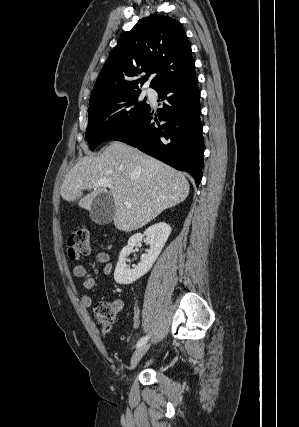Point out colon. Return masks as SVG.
I'll return each mask as SVG.
<instances>
[{
  "instance_id": "obj_1",
  "label": "colon",
  "mask_w": 299,
  "mask_h": 427,
  "mask_svg": "<svg viewBox=\"0 0 299 427\" xmlns=\"http://www.w3.org/2000/svg\"><path fill=\"white\" fill-rule=\"evenodd\" d=\"M90 252V236L86 228H79L75 230L69 238L68 255L71 258H78L87 255ZM94 312L98 317L99 322L103 328L110 329L114 322L116 313L105 302H98L94 306Z\"/></svg>"
}]
</instances>
